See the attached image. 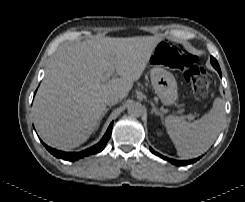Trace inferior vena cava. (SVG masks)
Segmentation results:
<instances>
[{
  "instance_id": "1",
  "label": "inferior vena cava",
  "mask_w": 245,
  "mask_h": 202,
  "mask_svg": "<svg viewBox=\"0 0 245 202\" xmlns=\"http://www.w3.org/2000/svg\"><path fill=\"white\" fill-rule=\"evenodd\" d=\"M121 100V95L119 93H111L106 97V104L107 105H114Z\"/></svg>"
}]
</instances>
